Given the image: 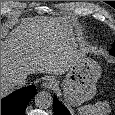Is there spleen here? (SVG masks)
Masks as SVG:
<instances>
[{
  "instance_id": "3e777b00",
  "label": "spleen",
  "mask_w": 115,
  "mask_h": 115,
  "mask_svg": "<svg viewBox=\"0 0 115 115\" xmlns=\"http://www.w3.org/2000/svg\"><path fill=\"white\" fill-rule=\"evenodd\" d=\"M79 115H107L111 109L108 102H97L94 105H85L78 109Z\"/></svg>"
}]
</instances>
